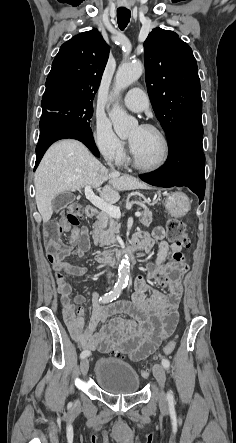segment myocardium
<instances>
[{"label": "myocardium", "mask_w": 236, "mask_h": 443, "mask_svg": "<svg viewBox=\"0 0 236 443\" xmlns=\"http://www.w3.org/2000/svg\"><path fill=\"white\" fill-rule=\"evenodd\" d=\"M142 127L149 129V130L155 132L156 134H158V136L160 137L162 144H163V155L158 163H156L154 165H147V164H144L139 161V159L135 155L133 149L131 148V156H132L133 166L140 171L148 172V173L159 171L167 164V162L170 158L171 145H170L169 139H168L166 133L164 132V130L154 124H144V125H142Z\"/></svg>", "instance_id": "1"}]
</instances>
